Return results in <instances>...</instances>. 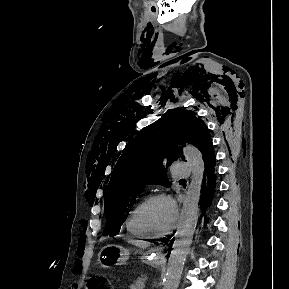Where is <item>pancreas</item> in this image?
Wrapping results in <instances>:
<instances>
[{
	"label": "pancreas",
	"instance_id": "pancreas-1",
	"mask_svg": "<svg viewBox=\"0 0 289 289\" xmlns=\"http://www.w3.org/2000/svg\"><path fill=\"white\" fill-rule=\"evenodd\" d=\"M146 276L139 277L132 285L131 289H144Z\"/></svg>",
	"mask_w": 289,
	"mask_h": 289
}]
</instances>
